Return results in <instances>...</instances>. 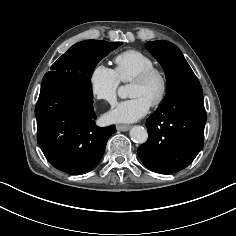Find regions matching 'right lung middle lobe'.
Listing matches in <instances>:
<instances>
[{"label": "right lung middle lobe", "instance_id": "right-lung-middle-lobe-1", "mask_svg": "<svg viewBox=\"0 0 236 236\" xmlns=\"http://www.w3.org/2000/svg\"><path fill=\"white\" fill-rule=\"evenodd\" d=\"M122 43L86 40L73 45L51 66L45 75L60 73L91 85L90 77L97 63Z\"/></svg>", "mask_w": 236, "mask_h": 236}]
</instances>
